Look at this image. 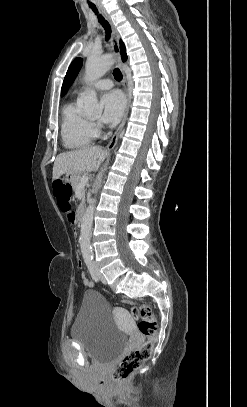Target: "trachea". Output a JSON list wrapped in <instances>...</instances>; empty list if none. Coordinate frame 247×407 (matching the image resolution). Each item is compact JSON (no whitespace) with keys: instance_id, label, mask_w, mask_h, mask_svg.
Instances as JSON below:
<instances>
[{"instance_id":"3493384b","label":"trachea","mask_w":247,"mask_h":407,"mask_svg":"<svg viewBox=\"0 0 247 407\" xmlns=\"http://www.w3.org/2000/svg\"><path fill=\"white\" fill-rule=\"evenodd\" d=\"M90 8L97 15L99 23L102 24V26L105 30V33H106V40L108 41L110 39V35H111L110 24L108 23V21H106L104 19V17L101 14H99V12L95 6H90ZM113 76L117 81H121L122 77H123L121 71L118 68L114 69Z\"/></svg>"}]
</instances>
